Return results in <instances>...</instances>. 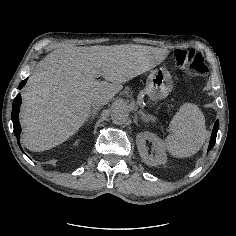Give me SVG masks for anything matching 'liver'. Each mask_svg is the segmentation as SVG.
Instances as JSON below:
<instances>
[{"label": "liver", "mask_w": 236, "mask_h": 236, "mask_svg": "<svg viewBox=\"0 0 236 236\" xmlns=\"http://www.w3.org/2000/svg\"><path fill=\"white\" fill-rule=\"evenodd\" d=\"M167 49L126 44L66 46L37 63L22 93L20 123L25 147L49 150L74 135L92 106L108 103L123 83L144 73L150 54L168 55ZM101 74L105 81H98Z\"/></svg>", "instance_id": "liver-1"}]
</instances>
